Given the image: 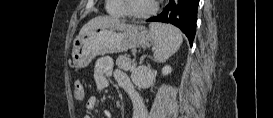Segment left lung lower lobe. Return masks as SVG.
Segmentation results:
<instances>
[{
	"mask_svg": "<svg viewBox=\"0 0 273 118\" xmlns=\"http://www.w3.org/2000/svg\"><path fill=\"white\" fill-rule=\"evenodd\" d=\"M198 4L199 0H169L162 13L146 21L173 24L185 33L192 46L196 32Z\"/></svg>",
	"mask_w": 273,
	"mask_h": 118,
	"instance_id": "left-lung-lower-lobe-1",
	"label": "left lung lower lobe"
}]
</instances>
